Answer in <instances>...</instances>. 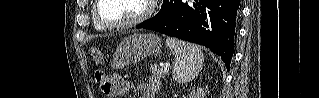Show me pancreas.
Returning <instances> with one entry per match:
<instances>
[{"mask_svg":"<svg viewBox=\"0 0 319 98\" xmlns=\"http://www.w3.org/2000/svg\"><path fill=\"white\" fill-rule=\"evenodd\" d=\"M150 71L153 75L154 78H165L166 75L168 74L167 70H164L162 67L160 68L158 65H152L150 67Z\"/></svg>","mask_w":319,"mask_h":98,"instance_id":"cf45deb5","label":"pancreas"}]
</instances>
